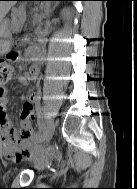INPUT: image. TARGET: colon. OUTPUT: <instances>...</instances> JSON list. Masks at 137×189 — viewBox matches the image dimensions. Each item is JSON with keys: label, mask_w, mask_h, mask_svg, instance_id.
Returning a JSON list of instances; mask_svg holds the SVG:
<instances>
[{"label": "colon", "mask_w": 137, "mask_h": 189, "mask_svg": "<svg viewBox=\"0 0 137 189\" xmlns=\"http://www.w3.org/2000/svg\"><path fill=\"white\" fill-rule=\"evenodd\" d=\"M18 58L16 52H10L5 59H0V88L6 84L14 73L13 62ZM46 156L58 160L60 158L58 152L53 148H48Z\"/></svg>", "instance_id": "obj_1"}]
</instances>
